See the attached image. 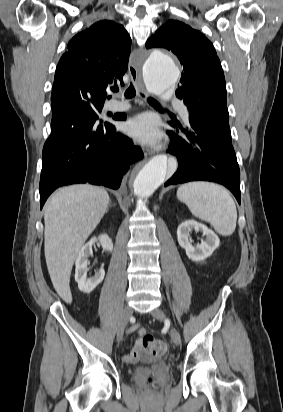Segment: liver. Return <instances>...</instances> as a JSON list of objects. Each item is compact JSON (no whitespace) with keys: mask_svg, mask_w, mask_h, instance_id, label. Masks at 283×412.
<instances>
[{"mask_svg":"<svg viewBox=\"0 0 283 412\" xmlns=\"http://www.w3.org/2000/svg\"><path fill=\"white\" fill-rule=\"evenodd\" d=\"M109 202L106 190L80 184L59 189L45 205L46 264L56 292L66 303L72 301L69 282L74 261Z\"/></svg>","mask_w":283,"mask_h":412,"instance_id":"liver-1","label":"liver"}]
</instances>
